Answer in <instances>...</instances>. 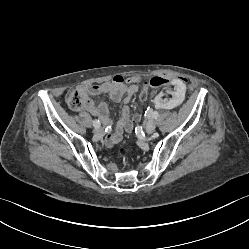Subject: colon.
Here are the masks:
<instances>
[{"label": "colon", "instance_id": "5ec220e1", "mask_svg": "<svg viewBox=\"0 0 249 249\" xmlns=\"http://www.w3.org/2000/svg\"><path fill=\"white\" fill-rule=\"evenodd\" d=\"M167 79L163 76H154L150 80V85L152 87H159L167 83ZM147 98V92H142L140 94V102L143 103ZM66 103L68 107L74 111L78 112L82 110L86 105V98L85 96L78 90L72 89L70 90L65 97ZM118 154L122 158H127L129 156V150L125 146H120L118 148Z\"/></svg>", "mask_w": 249, "mask_h": 249}]
</instances>
